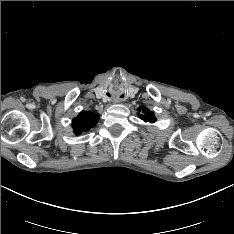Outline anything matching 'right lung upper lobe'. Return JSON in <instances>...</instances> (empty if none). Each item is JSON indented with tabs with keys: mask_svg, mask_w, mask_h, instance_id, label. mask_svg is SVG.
I'll return each mask as SVG.
<instances>
[{
	"mask_svg": "<svg viewBox=\"0 0 234 234\" xmlns=\"http://www.w3.org/2000/svg\"><path fill=\"white\" fill-rule=\"evenodd\" d=\"M99 120V115L90 111L81 112L76 118L73 119L72 127L76 135L88 131L94 127Z\"/></svg>",
	"mask_w": 234,
	"mask_h": 234,
	"instance_id": "cb5924a9",
	"label": "right lung upper lobe"
}]
</instances>
